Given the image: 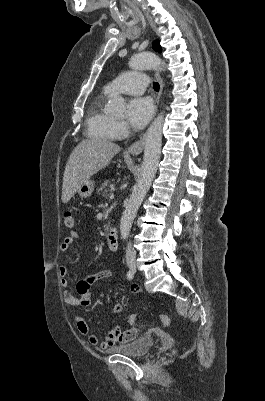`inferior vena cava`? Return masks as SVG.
I'll list each match as a JSON object with an SVG mask.
<instances>
[{
    "instance_id": "inferior-vena-cava-1",
    "label": "inferior vena cava",
    "mask_w": 265,
    "mask_h": 401,
    "mask_svg": "<svg viewBox=\"0 0 265 401\" xmlns=\"http://www.w3.org/2000/svg\"><path fill=\"white\" fill-rule=\"evenodd\" d=\"M126 259L130 261V259H136L135 249H133L131 243H128V247H126Z\"/></svg>"
}]
</instances>
